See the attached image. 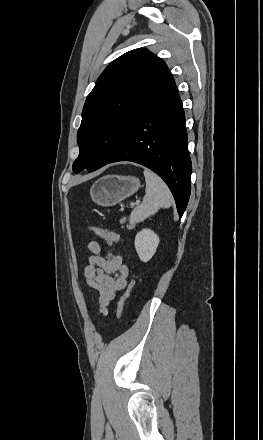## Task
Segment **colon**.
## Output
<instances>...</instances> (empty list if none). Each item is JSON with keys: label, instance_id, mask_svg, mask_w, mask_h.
<instances>
[{"label": "colon", "instance_id": "colon-1", "mask_svg": "<svg viewBox=\"0 0 263 440\" xmlns=\"http://www.w3.org/2000/svg\"><path fill=\"white\" fill-rule=\"evenodd\" d=\"M89 229L98 236H100L102 239H104L108 244H115L119 241V238L115 233L111 232L110 230L106 229L101 225L93 224L89 226ZM131 289H132V284H130L127 287V289L125 290L124 294L122 295L119 301V312L121 314L123 313L127 300L130 296Z\"/></svg>", "mask_w": 263, "mask_h": 440}]
</instances>
